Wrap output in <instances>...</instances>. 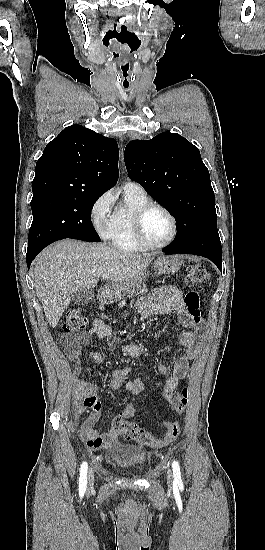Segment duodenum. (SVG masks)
I'll return each mask as SVG.
<instances>
[{
  "label": "duodenum",
  "mask_w": 265,
  "mask_h": 550,
  "mask_svg": "<svg viewBox=\"0 0 265 550\" xmlns=\"http://www.w3.org/2000/svg\"><path fill=\"white\" fill-rule=\"evenodd\" d=\"M111 295V292L110 291H105V292H102L100 293L99 292V299L104 302L106 300H108V297Z\"/></svg>",
  "instance_id": "1"
}]
</instances>
